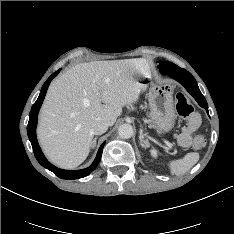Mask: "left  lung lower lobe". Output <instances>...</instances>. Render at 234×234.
<instances>
[{
  "instance_id": "left-lung-lower-lobe-1",
  "label": "left lung lower lobe",
  "mask_w": 234,
  "mask_h": 234,
  "mask_svg": "<svg viewBox=\"0 0 234 234\" xmlns=\"http://www.w3.org/2000/svg\"><path fill=\"white\" fill-rule=\"evenodd\" d=\"M164 75H169L173 79L180 82L186 90L195 98V100L199 103V105L206 109L208 112L207 102L199 90V87L196 83L195 78L191 75V73L187 72L185 69L178 68L175 70H165L161 71Z\"/></svg>"
}]
</instances>
